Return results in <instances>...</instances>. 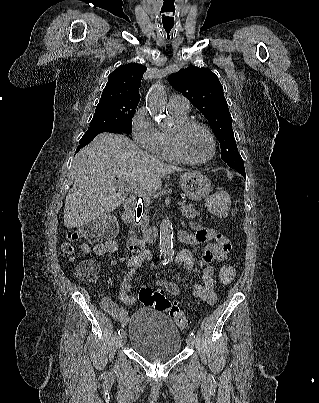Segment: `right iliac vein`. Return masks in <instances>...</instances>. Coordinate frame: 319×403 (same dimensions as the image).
Returning a JSON list of instances; mask_svg holds the SVG:
<instances>
[{
	"label": "right iliac vein",
	"mask_w": 319,
	"mask_h": 403,
	"mask_svg": "<svg viewBox=\"0 0 319 403\" xmlns=\"http://www.w3.org/2000/svg\"><path fill=\"white\" fill-rule=\"evenodd\" d=\"M125 342H126V334L123 332L118 337V344L122 346L125 344Z\"/></svg>",
	"instance_id": "1"
}]
</instances>
